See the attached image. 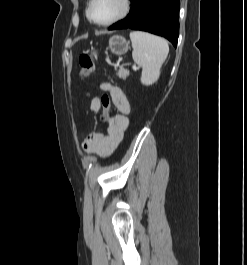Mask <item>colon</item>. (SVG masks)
Wrapping results in <instances>:
<instances>
[{"instance_id": "colon-1", "label": "colon", "mask_w": 247, "mask_h": 265, "mask_svg": "<svg viewBox=\"0 0 247 265\" xmlns=\"http://www.w3.org/2000/svg\"><path fill=\"white\" fill-rule=\"evenodd\" d=\"M79 66H80V74L82 76H88L90 75L94 69H95V64L92 60V58L89 55H81L79 58ZM103 112L101 119L103 121H107L110 116V108H111V103L109 97H105L103 99Z\"/></svg>"}]
</instances>
